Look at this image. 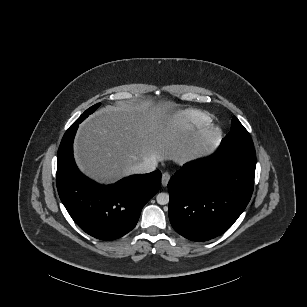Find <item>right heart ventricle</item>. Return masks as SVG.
I'll use <instances>...</instances> for the list:
<instances>
[{"label":"right heart ventricle","mask_w":307,"mask_h":307,"mask_svg":"<svg viewBox=\"0 0 307 307\" xmlns=\"http://www.w3.org/2000/svg\"><path fill=\"white\" fill-rule=\"evenodd\" d=\"M205 115H206V117H207V119H208V122L210 123V122L212 121L211 116H210L209 114H206V113H205Z\"/></svg>","instance_id":"e07e8e85"}]
</instances>
